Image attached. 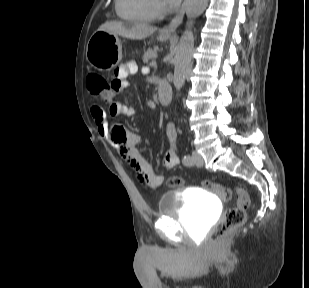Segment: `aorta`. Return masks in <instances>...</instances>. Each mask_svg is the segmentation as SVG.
I'll use <instances>...</instances> for the list:
<instances>
[{
	"mask_svg": "<svg viewBox=\"0 0 309 288\" xmlns=\"http://www.w3.org/2000/svg\"><path fill=\"white\" fill-rule=\"evenodd\" d=\"M209 0H185L184 9L187 16L186 29L183 32L176 48L174 59V86L179 92L185 82V78L192 60L194 48V35L192 31L194 20L207 8ZM179 95V94H177Z\"/></svg>",
	"mask_w": 309,
	"mask_h": 288,
	"instance_id": "1",
	"label": "aorta"
}]
</instances>
